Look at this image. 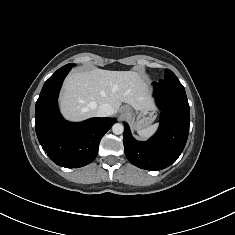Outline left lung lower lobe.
Listing matches in <instances>:
<instances>
[{
	"label": "left lung lower lobe",
	"mask_w": 235,
	"mask_h": 235,
	"mask_svg": "<svg viewBox=\"0 0 235 235\" xmlns=\"http://www.w3.org/2000/svg\"><path fill=\"white\" fill-rule=\"evenodd\" d=\"M154 97L161 110L158 131L146 142L136 141L124 123L123 143L128 160L146 170L170 166L182 153L189 133L190 108L180 82H154Z\"/></svg>",
	"instance_id": "obj_1"
}]
</instances>
